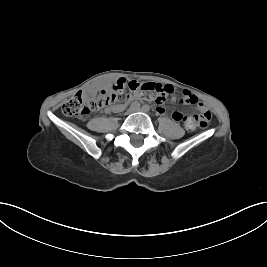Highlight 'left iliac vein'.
<instances>
[{
    "label": "left iliac vein",
    "instance_id": "obj_1",
    "mask_svg": "<svg viewBox=\"0 0 267 267\" xmlns=\"http://www.w3.org/2000/svg\"><path fill=\"white\" fill-rule=\"evenodd\" d=\"M139 111H141V112H144V113H147L148 111L147 110H145L144 108H142V109H138Z\"/></svg>",
    "mask_w": 267,
    "mask_h": 267
}]
</instances>
